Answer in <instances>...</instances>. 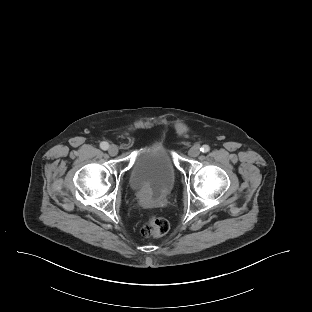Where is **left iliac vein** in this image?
<instances>
[{"label":"left iliac vein","instance_id":"1","mask_svg":"<svg viewBox=\"0 0 312 312\" xmlns=\"http://www.w3.org/2000/svg\"><path fill=\"white\" fill-rule=\"evenodd\" d=\"M189 156L197 157L200 154V147L198 145H194L188 151Z\"/></svg>","mask_w":312,"mask_h":312}]
</instances>
